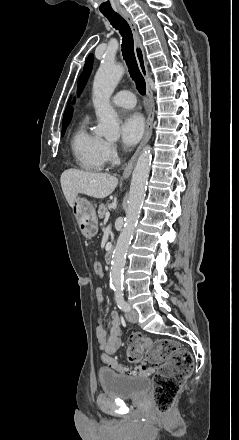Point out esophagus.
<instances>
[{
	"label": "esophagus",
	"mask_w": 239,
	"mask_h": 440,
	"mask_svg": "<svg viewBox=\"0 0 239 440\" xmlns=\"http://www.w3.org/2000/svg\"><path fill=\"white\" fill-rule=\"evenodd\" d=\"M119 13L128 22V25L130 26V28L132 30L133 39H134V51H135V56L137 59L138 67H139V70L142 73L143 77L148 79L149 74H148L147 64H146V60H145V53H144L143 47L141 45L140 37H139L138 31H137V26H136L135 22L133 21L131 15L128 12L119 11ZM147 95H148L149 99L151 100V109H150V111L148 113V117H147L146 132H145V135L143 137L142 142L140 143L139 147L137 148L135 153L132 155V157L130 158L129 162L126 165V168L124 169V172H123L124 179L128 178L131 175L140 150L144 147V145H146V143L149 141V139L152 135V124H153V120H154V102H153V93H152V90L149 85H147Z\"/></svg>",
	"instance_id": "34e87169"
}]
</instances>
